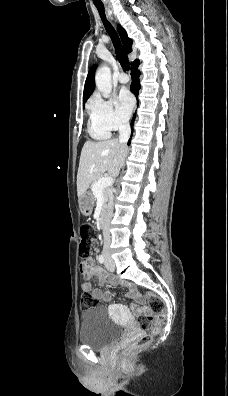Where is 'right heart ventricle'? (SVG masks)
<instances>
[{"mask_svg": "<svg viewBox=\"0 0 228 396\" xmlns=\"http://www.w3.org/2000/svg\"><path fill=\"white\" fill-rule=\"evenodd\" d=\"M90 135L98 140L107 139L110 136V132L100 127L93 119H90L88 127Z\"/></svg>", "mask_w": 228, "mask_h": 396, "instance_id": "right-heart-ventricle-1", "label": "right heart ventricle"}]
</instances>
